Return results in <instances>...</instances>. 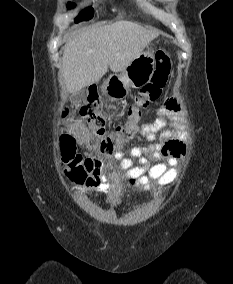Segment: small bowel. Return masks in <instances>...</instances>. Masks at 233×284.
<instances>
[{
	"label": "small bowel",
	"instance_id": "c3829d8e",
	"mask_svg": "<svg viewBox=\"0 0 233 284\" xmlns=\"http://www.w3.org/2000/svg\"><path fill=\"white\" fill-rule=\"evenodd\" d=\"M181 104L174 96H169L164 103L154 110L157 119L152 124H145L141 129L150 144L147 147H133L128 154L117 151L113 160L104 164L93 159V168L85 182L87 189L103 192H115L125 181L141 189L149 190L154 183L167 185L178 174L177 166L186 154V145L177 128H167L169 122L178 121ZM81 143L89 140L87 129L81 125L74 126ZM159 140L157 141V133ZM155 161V164H151Z\"/></svg>",
	"mask_w": 233,
	"mask_h": 284
}]
</instances>
